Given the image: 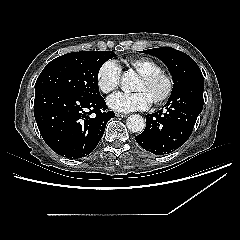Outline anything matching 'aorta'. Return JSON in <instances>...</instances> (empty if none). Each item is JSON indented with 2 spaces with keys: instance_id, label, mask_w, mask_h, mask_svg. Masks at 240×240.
<instances>
[{
  "instance_id": "obj_1",
  "label": "aorta",
  "mask_w": 240,
  "mask_h": 240,
  "mask_svg": "<svg viewBox=\"0 0 240 240\" xmlns=\"http://www.w3.org/2000/svg\"><path fill=\"white\" fill-rule=\"evenodd\" d=\"M136 80V76L133 72L129 71L127 73H124L121 78V88L124 91H130L133 86L134 82ZM127 128L133 132V133H141L145 129V120L142 116L138 114H133L128 117L126 121Z\"/></svg>"
}]
</instances>
